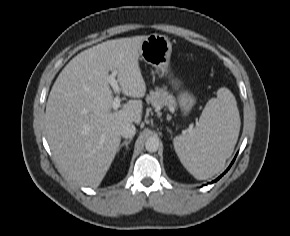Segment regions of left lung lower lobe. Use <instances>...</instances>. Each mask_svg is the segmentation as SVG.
<instances>
[{
  "label": "left lung lower lobe",
  "instance_id": "0a47b994",
  "mask_svg": "<svg viewBox=\"0 0 290 236\" xmlns=\"http://www.w3.org/2000/svg\"><path fill=\"white\" fill-rule=\"evenodd\" d=\"M235 158H236V157H235ZM235 158L233 159L232 163L230 164V166L228 167V169H227L225 172H227V171L229 170V168H230V167H231V165L233 164V162H234ZM221 176H223V174H222ZM221 176H220V177H221ZM220 177H219V178H220ZM219 178H217L216 180H214V182H216V181H217Z\"/></svg>",
  "mask_w": 290,
  "mask_h": 236
}]
</instances>
